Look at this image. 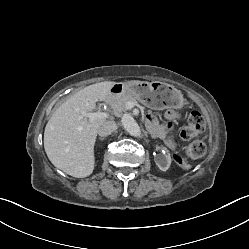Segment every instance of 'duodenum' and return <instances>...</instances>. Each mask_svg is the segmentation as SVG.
<instances>
[{
    "instance_id": "410a0bca",
    "label": "duodenum",
    "mask_w": 249,
    "mask_h": 249,
    "mask_svg": "<svg viewBox=\"0 0 249 249\" xmlns=\"http://www.w3.org/2000/svg\"><path fill=\"white\" fill-rule=\"evenodd\" d=\"M115 94H113L111 91L108 92V94L104 98V102H108Z\"/></svg>"
}]
</instances>
